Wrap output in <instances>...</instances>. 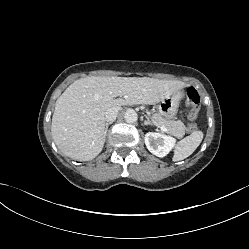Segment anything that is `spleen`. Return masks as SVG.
I'll use <instances>...</instances> for the list:
<instances>
[{"instance_id":"obj_1","label":"spleen","mask_w":249,"mask_h":249,"mask_svg":"<svg viewBox=\"0 0 249 249\" xmlns=\"http://www.w3.org/2000/svg\"><path fill=\"white\" fill-rule=\"evenodd\" d=\"M202 140L203 132L200 130L194 131L191 135L182 139L175 149L173 161H181L189 157L197 149Z\"/></svg>"}]
</instances>
